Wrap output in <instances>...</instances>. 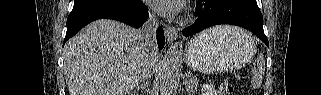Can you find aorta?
<instances>
[{
	"label": "aorta",
	"mask_w": 321,
	"mask_h": 95,
	"mask_svg": "<svg viewBox=\"0 0 321 95\" xmlns=\"http://www.w3.org/2000/svg\"><path fill=\"white\" fill-rule=\"evenodd\" d=\"M180 73V54L177 43L171 45L163 58L160 72L161 95H173Z\"/></svg>",
	"instance_id": "obj_1"
}]
</instances>
